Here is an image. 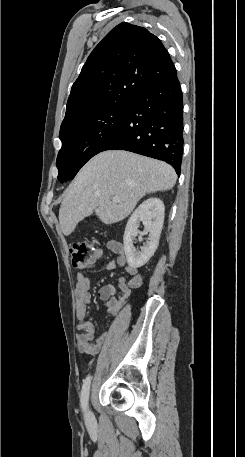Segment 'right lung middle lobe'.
Returning <instances> with one entry per match:
<instances>
[{
    "label": "right lung middle lobe",
    "mask_w": 245,
    "mask_h": 457,
    "mask_svg": "<svg viewBox=\"0 0 245 457\" xmlns=\"http://www.w3.org/2000/svg\"><path fill=\"white\" fill-rule=\"evenodd\" d=\"M131 102L114 101L61 124L62 148L56 162L61 183L73 179L90 158L102 151L123 122Z\"/></svg>",
    "instance_id": "dd1d6c3e"
}]
</instances>
